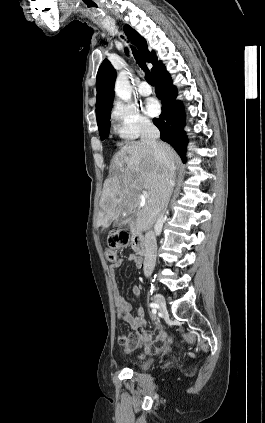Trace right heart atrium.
Here are the masks:
<instances>
[{
  "label": "right heart atrium",
  "mask_w": 265,
  "mask_h": 423,
  "mask_svg": "<svg viewBox=\"0 0 265 423\" xmlns=\"http://www.w3.org/2000/svg\"><path fill=\"white\" fill-rule=\"evenodd\" d=\"M111 119L116 133L124 140H135L152 128V122L141 113L137 105L131 103H115Z\"/></svg>",
  "instance_id": "d8ad5b80"
}]
</instances>
